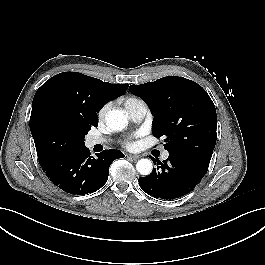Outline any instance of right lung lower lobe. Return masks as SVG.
<instances>
[{
  "mask_svg": "<svg viewBox=\"0 0 265 265\" xmlns=\"http://www.w3.org/2000/svg\"><path fill=\"white\" fill-rule=\"evenodd\" d=\"M124 155L118 150H104L97 158L81 147L39 160L47 177L71 194H87L100 189L107 181L111 163Z\"/></svg>",
  "mask_w": 265,
  "mask_h": 265,
  "instance_id": "obj_1",
  "label": "right lung lower lobe"
}]
</instances>
